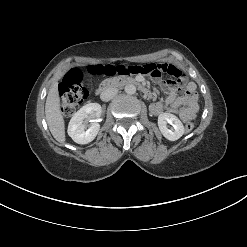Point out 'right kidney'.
Listing matches in <instances>:
<instances>
[{
  "label": "right kidney",
  "mask_w": 247,
  "mask_h": 247,
  "mask_svg": "<svg viewBox=\"0 0 247 247\" xmlns=\"http://www.w3.org/2000/svg\"><path fill=\"white\" fill-rule=\"evenodd\" d=\"M102 112L101 106L98 103H89L80 108L71 118L68 125V135L78 144H88L97 136L100 125L97 119ZM94 118V122L87 129L83 124V120L88 116Z\"/></svg>",
  "instance_id": "right-kidney-1"
}]
</instances>
